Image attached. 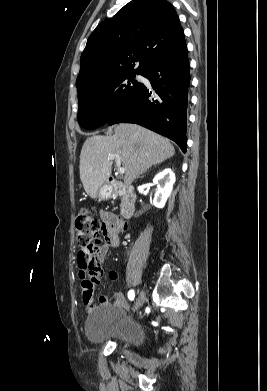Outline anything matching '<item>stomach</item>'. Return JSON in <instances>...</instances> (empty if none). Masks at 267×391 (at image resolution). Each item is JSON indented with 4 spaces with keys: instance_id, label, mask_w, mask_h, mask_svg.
Segmentation results:
<instances>
[{
    "instance_id": "stomach-1",
    "label": "stomach",
    "mask_w": 267,
    "mask_h": 391,
    "mask_svg": "<svg viewBox=\"0 0 267 391\" xmlns=\"http://www.w3.org/2000/svg\"><path fill=\"white\" fill-rule=\"evenodd\" d=\"M112 193H113V188L109 184L105 183L99 187V189L96 192L95 198L99 200H105L110 198L112 196Z\"/></svg>"
}]
</instances>
